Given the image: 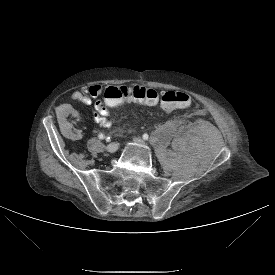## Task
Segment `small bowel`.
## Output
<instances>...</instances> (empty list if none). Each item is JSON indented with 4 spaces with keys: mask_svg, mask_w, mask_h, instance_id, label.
<instances>
[{
    "mask_svg": "<svg viewBox=\"0 0 275 275\" xmlns=\"http://www.w3.org/2000/svg\"><path fill=\"white\" fill-rule=\"evenodd\" d=\"M103 93V86L94 84L83 86L73 92L70 98L72 101L86 105H90L96 100L94 119L101 126L109 128L112 125L109 119L110 111L103 107ZM57 125L61 128L62 135L68 140L81 141L85 137V130L82 128L85 125V118L81 114H74L69 104L60 106L57 112Z\"/></svg>",
    "mask_w": 275,
    "mask_h": 275,
    "instance_id": "obj_1",
    "label": "small bowel"
}]
</instances>
